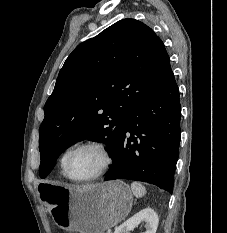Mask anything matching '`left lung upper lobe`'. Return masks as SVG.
Masks as SVG:
<instances>
[{"mask_svg":"<svg viewBox=\"0 0 227 233\" xmlns=\"http://www.w3.org/2000/svg\"><path fill=\"white\" fill-rule=\"evenodd\" d=\"M171 73L154 31L123 19L78 45L59 72L40 126V177L77 141L104 142L114 157L132 108L158 90Z\"/></svg>","mask_w":227,"mask_h":233,"instance_id":"5c2ea615","label":"left lung upper lobe"}]
</instances>
